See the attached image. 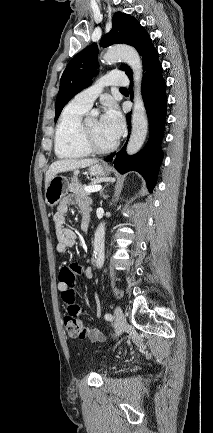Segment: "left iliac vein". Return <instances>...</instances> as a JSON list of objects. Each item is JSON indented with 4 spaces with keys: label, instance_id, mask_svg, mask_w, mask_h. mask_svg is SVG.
I'll list each match as a JSON object with an SVG mask.
<instances>
[{
    "label": "left iliac vein",
    "instance_id": "1",
    "mask_svg": "<svg viewBox=\"0 0 213 433\" xmlns=\"http://www.w3.org/2000/svg\"><path fill=\"white\" fill-rule=\"evenodd\" d=\"M114 317H115V332L116 336H119L122 334L126 327V319L124 316L123 311L120 307H116L114 310Z\"/></svg>",
    "mask_w": 213,
    "mask_h": 433
}]
</instances>
